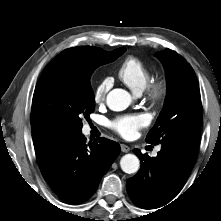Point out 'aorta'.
<instances>
[{"label": "aorta", "instance_id": "1", "mask_svg": "<svg viewBox=\"0 0 221 221\" xmlns=\"http://www.w3.org/2000/svg\"><path fill=\"white\" fill-rule=\"evenodd\" d=\"M131 103V95L123 89L116 88L107 95V105L113 111H123ZM121 169L128 174L139 170L140 161L134 154H126L120 160Z\"/></svg>", "mask_w": 221, "mask_h": 221}]
</instances>
